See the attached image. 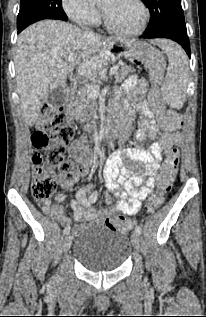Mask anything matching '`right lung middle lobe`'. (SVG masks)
Listing matches in <instances>:
<instances>
[{
  "label": "right lung middle lobe",
  "mask_w": 206,
  "mask_h": 317,
  "mask_svg": "<svg viewBox=\"0 0 206 317\" xmlns=\"http://www.w3.org/2000/svg\"><path fill=\"white\" fill-rule=\"evenodd\" d=\"M43 19H60L67 21L62 8V0H21L17 17L18 31Z\"/></svg>",
  "instance_id": "dd1d6c3e"
}]
</instances>
